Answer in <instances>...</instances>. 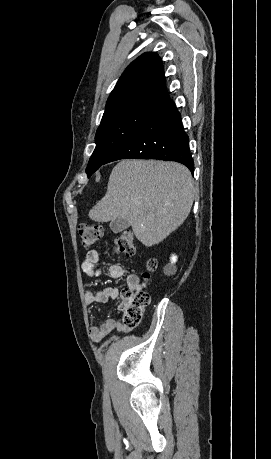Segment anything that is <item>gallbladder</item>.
Returning a JSON list of instances; mask_svg holds the SVG:
<instances>
[{
	"label": "gallbladder",
	"instance_id": "obj_1",
	"mask_svg": "<svg viewBox=\"0 0 271 459\" xmlns=\"http://www.w3.org/2000/svg\"><path fill=\"white\" fill-rule=\"evenodd\" d=\"M130 224L127 220H112L110 222V229L114 231V233H118V231H123V229L129 228Z\"/></svg>",
	"mask_w": 271,
	"mask_h": 459
}]
</instances>
